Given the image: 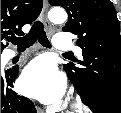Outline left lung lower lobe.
Returning <instances> with one entry per match:
<instances>
[{
  "label": "left lung lower lobe",
  "instance_id": "0a47b994",
  "mask_svg": "<svg viewBox=\"0 0 121 113\" xmlns=\"http://www.w3.org/2000/svg\"><path fill=\"white\" fill-rule=\"evenodd\" d=\"M90 113H121V97L99 85L75 87Z\"/></svg>",
  "mask_w": 121,
  "mask_h": 113
}]
</instances>
